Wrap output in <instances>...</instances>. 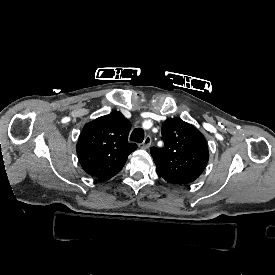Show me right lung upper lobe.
I'll use <instances>...</instances> for the list:
<instances>
[{
	"mask_svg": "<svg viewBox=\"0 0 275 275\" xmlns=\"http://www.w3.org/2000/svg\"><path fill=\"white\" fill-rule=\"evenodd\" d=\"M130 128L129 120L117 111L87 123L76 147L83 170L106 180L120 172L128 155L137 148L128 142Z\"/></svg>",
	"mask_w": 275,
	"mask_h": 275,
	"instance_id": "cb5924a9",
	"label": "right lung upper lobe"
}]
</instances>
